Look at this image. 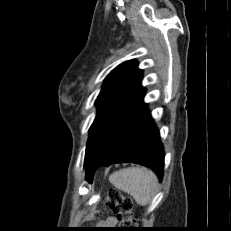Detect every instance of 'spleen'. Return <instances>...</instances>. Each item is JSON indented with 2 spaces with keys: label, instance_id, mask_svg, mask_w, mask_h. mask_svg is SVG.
I'll return each mask as SVG.
<instances>
[{
  "label": "spleen",
  "instance_id": "3e777b00",
  "mask_svg": "<svg viewBox=\"0 0 231 231\" xmlns=\"http://www.w3.org/2000/svg\"><path fill=\"white\" fill-rule=\"evenodd\" d=\"M109 181L119 190L130 194L141 206L150 202L158 184L156 175L142 167L121 169L111 174Z\"/></svg>",
  "mask_w": 231,
  "mask_h": 231
}]
</instances>
